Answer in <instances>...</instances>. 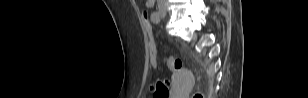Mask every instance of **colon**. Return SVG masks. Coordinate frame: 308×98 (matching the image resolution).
<instances>
[{
	"label": "colon",
	"mask_w": 308,
	"mask_h": 98,
	"mask_svg": "<svg viewBox=\"0 0 308 98\" xmlns=\"http://www.w3.org/2000/svg\"><path fill=\"white\" fill-rule=\"evenodd\" d=\"M141 14L143 15V21H144V28L145 31H147L149 41V56H150V62L152 66H156L157 64V50H156V44L153 38V32L154 31V24L150 21V16L147 15L148 11L146 9H143L141 11ZM167 66L172 71H179L182 68V61L179 58L176 57H169L167 59ZM153 89V95L154 98H168L169 97V83L165 80H158L155 85L152 87ZM193 98H204L203 94L201 92H196L193 95Z\"/></svg>",
	"instance_id": "1"
}]
</instances>
